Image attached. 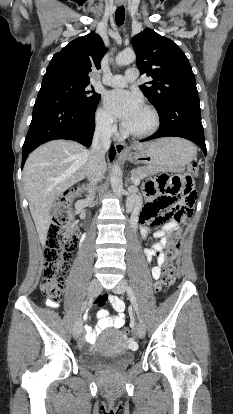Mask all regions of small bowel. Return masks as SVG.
Listing matches in <instances>:
<instances>
[{"label":"small bowel","instance_id":"small-bowel-1","mask_svg":"<svg viewBox=\"0 0 233 414\" xmlns=\"http://www.w3.org/2000/svg\"><path fill=\"white\" fill-rule=\"evenodd\" d=\"M147 195L151 199L154 198V196L149 193H147ZM154 201L155 200L140 211V202L136 200L134 215L138 218L140 224V234L143 239H148L151 236L156 239H160V241L153 248L145 250V256L148 260H151L152 258L157 259V266L152 269V275L155 279H158L161 273V266H163L166 261L163 254L166 235L177 231L180 223L174 218L172 210L162 215H153L151 213V204ZM107 302H109L112 308L117 312L116 315H111L108 310L103 308ZM46 304L51 308L58 307V303L52 300H47ZM94 305H98L100 307L97 313V325L94 328L89 325H85L84 328V339L90 344L94 343L96 336L102 330L106 328L118 329L125 323V303L119 297L115 295H100L96 299ZM126 308L131 312L135 307L130 303Z\"/></svg>","mask_w":233,"mask_h":414}]
</instances>
